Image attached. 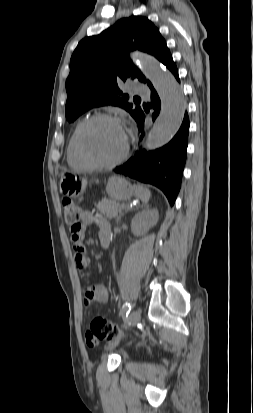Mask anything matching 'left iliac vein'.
Segmentation results:
<instances>
[{
  "mask_svg": "<svg viewBox=\"0 0 253 413\" xmlns=\"http://www.w3.org/2000/svg\"><path fill=\"white\" fill-rule=\"evenodd\" d=\"M141 319V312L139 310H135L131 313L130 317H129V321L132 324V326H134L135 324H137ZM119 343V339L115 340L114 342L110 343L107 347V350H112L114 349Z\"/></svg>",
  "mask_w": 253,
  "mask_h": 413,
  "instance_id": "left-iliac-vein-1",
  "label": "left iliac vein"
}]
</instances>
